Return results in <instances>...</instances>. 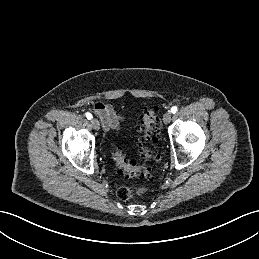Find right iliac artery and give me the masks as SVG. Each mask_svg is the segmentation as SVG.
I'll list each match as a JSON object with an SVG mask.
<instances>
[{
    "mask_svg": "<svg viewBox=\"0 0 259 259\" xmlns=\"http://www.w3.org/2000/svg\"><path fill=\"white\" fill-rule=\"evenodd\" d=\"M85 115H86L87 119H89V120L93 118L92 114L89 112H87Z\"/></svg>",
    "mask_w": 259,
    "mask_h": 259,
    "instance_id": "right-iliac-artery-1",
    "label": "right iliac artery"
}]
</instances>
